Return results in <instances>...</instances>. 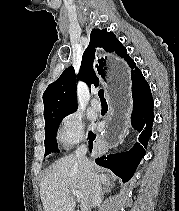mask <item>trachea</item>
<instances>
[{"label":"trachea","instance_id":"obj_1","mask_svg":"<svg viewBox=\"0 0 179 211\" xmlns=\"http://www.w3.org/2000/svg\"><path fill=\"white\" fill-rule=\"evenodd\" d=\"M98 96H99V98L101 99V101H105V98H104V91H103L102 89L99 90Z\"/></svg>","mask_w":179,"mask_h":211}]
</instances>
